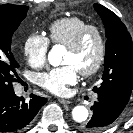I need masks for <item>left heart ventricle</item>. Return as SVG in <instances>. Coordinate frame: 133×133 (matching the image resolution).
I'll list each match as a JSON object with an SVG mask.
<instances>
[{"label": "left heart ventricle", "instance_id": "1", "mask_svg": "<svg viewBox=\"0 0 133 133\" xmlns=\"http://www.w3.org/2000/svg\"><path fill=\"white\" fill-rule=\"evenodd\" d=\"M98 50V39L94 33H90L78 51L66 49L63 63L72 64L78 71L89 69L97 60Z\"/></svg>", "mask_w": 133, "mask_h": 133}]
</instances>
